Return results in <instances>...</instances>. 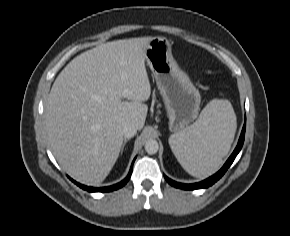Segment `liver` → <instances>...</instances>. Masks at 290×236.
<instances>
[{"instance_id":"obj_1","label":"liver","mask_w":290,"mask_h":236,"mask_svg":"<svg viewBox=\"0 0 290 236\" xmlns=\"http://www.w3.org/2000/svg\"><path fill=\"white\" fill-rule=\"evenodd\" d=\"M152 38L101 44L57 76L45 104V128L58 163L76 181L100 185L122 148L121 127L143 128L151 94L145 52Z\"/></svg>"}]
</instances>
